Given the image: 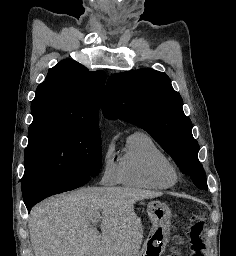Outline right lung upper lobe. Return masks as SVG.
Wrapping results in <instances>:
<instances>
[{
	"label": "right lung upper lobe",
	"instance_id": "cb5924a9",
	"mask_svg": "<svg viewBox=\"0 0 236 256\" xmlns=\"http://www.w3.org/2000/svg\"><path fill=\"white\" fill-rule=\"evenodd\" d=\"M106 80L103 71H89L65 59L53 67L36 90L32 124L63 123L98 128V111Z\"/></svg>",
	"mask_w": 236,
	"mask_h": 256
}]
</instances>
